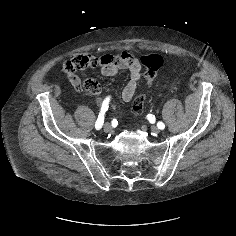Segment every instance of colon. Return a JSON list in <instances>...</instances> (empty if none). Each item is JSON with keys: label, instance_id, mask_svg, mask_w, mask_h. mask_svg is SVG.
<instances>
[{"label": "colon", "instance_id": "colon-1", "mask_svg": "<svg viewBox=\"0 0 236 236\" xmlns=\"http://www.w3.org/2000/svg\"><path fill=\"white\" fill-rule=\"evenodd\" d=\"M141 63L143 64L145 68L144 76L146 80L147 85H151L152 82L154 81L158 71L163 65V58L159 54L151 53L143 56L141 58ZM63 71L65 73H71L75 71L74 66L66 62L63 65ZM144 104V97L143 96H138L133 103V110L136 113H140L142 111Z\"/></svg>", "mask_w": 236, "mask_h": 236}]
</instances>
